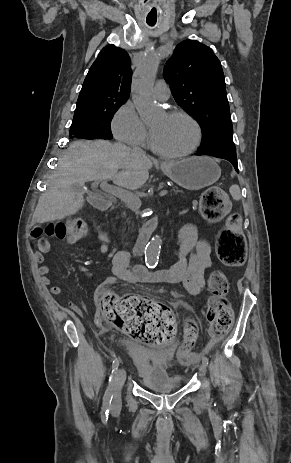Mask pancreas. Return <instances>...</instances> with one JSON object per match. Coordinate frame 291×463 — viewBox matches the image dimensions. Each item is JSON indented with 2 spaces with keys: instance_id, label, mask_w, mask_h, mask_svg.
I'll list each match as a JSON object with an SVG mask.
<instances>
[{
  "instance_id": "pancreas-1",
  "label": "pancreas",
  "mask_w": 291,
  "mask_h": 463,
  "mask_svg": "<svg viewBox=\"0 0 291 463\" xmlns=\"http://www.w3.org/2000/svg\"><path fill=\"white\" fill-rule=\"evenodd\" d=\"M171 195L185 197L186 194L183 190L179 189L176 186H172L170 189Z\"/></svg>"
}]
</instances>
